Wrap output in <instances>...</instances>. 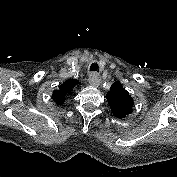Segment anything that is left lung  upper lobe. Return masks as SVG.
<instances>
[{"mask_svg": "<svg viewBox=\"0 0 177 177\" xmlns=\"http://www.w3.org/2000/svg\"><path fill=\"white\" fill-rule=\"evenodd\" d=\"M110 108L117 118H125L131 114L133 99L122 87L119 81H116L106 95Z\"/></svg>", "mask_w": 177, "mask_h": 177, "instance_id": "obj_1", "label": "left lung upper lobe"}]
</instances>
